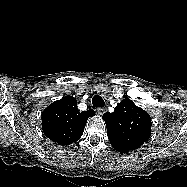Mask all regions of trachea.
Segmentation results:
<instances>
[{
	"mask_svg": "<svg viewBox=\"0 0 187 187\" xmlns=\"http://www.w3.org/2000/svg\"><path fill=\"white\" fill-rule=\"evenodd\" d=\"M92 104L94 107H104V100L100 95H95L92 99Z\"/></svg>",
	"mask_w": 187,
	"mask_h": 187,
	"instance_id": "obj_1",
	"label": "trachea"
}]
</instances>
